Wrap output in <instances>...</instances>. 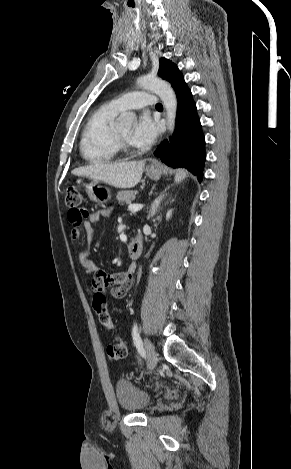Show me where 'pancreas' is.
Instances as JSON below:
<instances>
[{
	"label": "pancreas",
	"instance_id": "cf45deb5",
	"mask_svg": "<svg viewBox=\"0 0 291 469\" xmlns=\"http://www.w3.org/2000/svg\"><path fill=\"white\" fill-rule=\"evenodd\" d=\"M136 194L137 191H120L116 197L120 203L130 204L135 199Z\"/></svg>",
	"mask_w": 291,
	"mask_h": 469
}]
</instances>
